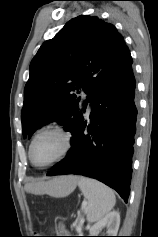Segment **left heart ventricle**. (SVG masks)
<instances>
[{"label":"left heart ventricle","mask_w":158,"mask_h":237,"mask_svg":"<svg viewBox=\"0 0 158 237\" xmlns=\"http://www.w3.org/2000/svg\"><path fill=\"white\" fill-rule=\"evenodd\" d=\"M64 146L60 135L49 132L40 135L33 146L32 157L36 164L43 165L57 157Z\"/></svg>","instance_id":"left-heart-ventricle-1"}]
</instances>
